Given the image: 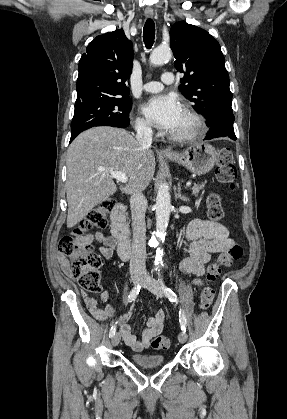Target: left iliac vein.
I'll list each match as a JSON object with an SVG mask.
<instances>
[{
  "label": "left iliac vein",
  "mask_w": 287,
  "mask_h": 419,
  "mask_svg": "<svg viewBox=\"0 0 287 419\" xmlns=\"http://www.w3.org/2000/svg\"><path fill=\"white\" fill-rule=\"evenodd\" d=\"M142 286L148 289L150 292H152L157 297H162L163 292L161 289V284L159 281L152 277H145V279L142 281ZM180 343H185L187 340V335L184 331H182L178 336Z\"/></svg>",
  "instance_id": "obj_1"
}]
</instances>
